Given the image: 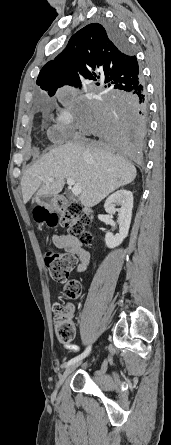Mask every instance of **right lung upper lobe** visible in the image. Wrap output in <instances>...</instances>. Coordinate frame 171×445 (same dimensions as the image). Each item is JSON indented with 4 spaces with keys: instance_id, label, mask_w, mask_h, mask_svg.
Instances as JSON below:
<instances>
[{
    "instance_id": "cb5924a9",
    "label": "right lung upper lobe",
    "mask_w": 171,
    "mask_h": 445,
    "mask_svg": "<svg viewBox=\"0 0 171 445\" xmlns=\"http://www.w3.org/2000/svg\"><path fill=\"white\" fill-rule=\"evenodd\" d=\"M80 78L104 80L110 92L129 91L142 82L136 56L129 47H118L99 23L76 32L65 50L43 66L36 83L53 96L63 85L81 87Z\"/></svg>"
}]
</instances>
